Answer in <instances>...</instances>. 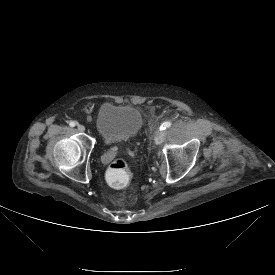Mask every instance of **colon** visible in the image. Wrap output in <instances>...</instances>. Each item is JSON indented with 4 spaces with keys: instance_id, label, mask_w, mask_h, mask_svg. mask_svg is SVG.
<instances>
[{
    "instance_id": "obj_1",
    "label": "colon",
    "mask_w": 275,
    "mask_h": 275,
    "mask_svg": "<svg viewBox=\"0 0 275 275\" xmlns=\"http://www.w3.org/2000/svg\"><path fill=\"white\" fill-rule=\"evenodd\" d=\"M109 183L115 187H123L130 180L129 164L123 158H115L106 170Z\"/></svg>"
}]
</instances>
